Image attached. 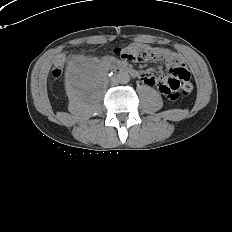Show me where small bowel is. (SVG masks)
Masks as SVG:
<instances>
[{
  "label": "small bowel",
  "instance_id": "1",
  "mask_svg": "<svg viewBox=\"0 0 232 232\" xmlns=\"http://www.w3.org/2000/svg\"><path fill=\"white\" fill-rule=\"evenodd\" d=\"M131 48H135L136 50H138L140 48H147V47L145 45L135 43L131 46ZM157 51H159L161 53V55L163 54L168 59V62L170 63L172 68L173 67H182L184 65L181 57L171 53L170 51H168V50H157ZM109 59L111 60V58H109ZM141 80L147 86H157L158 90L160 92H162V94L165 96L170 95L172 92V88L170 85H168L165 82V78L156 77L150 73H143L141 75ZM187 85L190 89H192V84H191L190 80L188 81Z\"/></svg>",
  "mask_w": 232,
  "mask_h": 232
}]
</instances>
